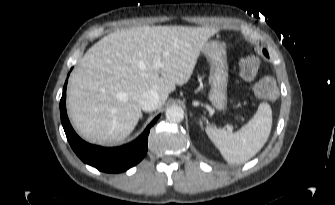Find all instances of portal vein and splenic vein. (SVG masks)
<instances>
[{"instance_id": "1", "label": "portal vein and splenic vein", "mask_w": 335, "mask_h": 205, "mask_svg": "<svg viewBox=\"0 0 335 205\" xmlns=\"http://www.w3.org/2000/svg\"><path fill=\"white\" fill-rule=\"evenodd\" d=\"M161 66L160 58H158L155 62V67L158 68Z\"/></svg>"}]
</instances>
